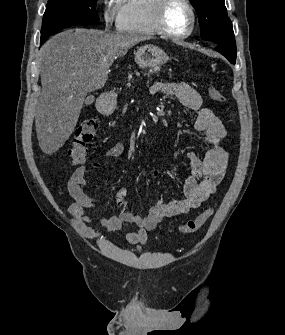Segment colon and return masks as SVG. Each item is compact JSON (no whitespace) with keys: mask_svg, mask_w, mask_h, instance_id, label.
Wrapping results in <instances>:
<instances>
[{"mask_svg":"<svg viewBox=\"0 0 285 335\" xmlns=\"http://www.w3.org/2000/svg\"><path fill=\"white\" fill-rule=\"evenodd\" d=\"M207 91L209 96L217 101L223 102L225 97L223 94L211 85H208ZM98 130V123L93 119L83 121L76 129L72 147L69 151V156L73 164H82L86 157V145L90 143ZM214 210L212 208L205 209L196 217L183 223L179 230L183 233H194L198 231L213 215Z\"/></svg>","mask_w":285,"mask_h":335,"instance_id":"1","label":"colon"}]
</instances>
